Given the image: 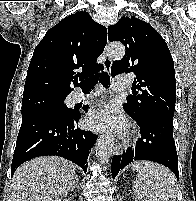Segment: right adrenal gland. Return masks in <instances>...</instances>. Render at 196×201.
I'll use <instances>...</instances> for the list:
<instances>
[{"label": "right adrenal gland", "mask_w": 196, "mask_h": 201, "mask_svg": "<svg viewBox=\"0 0 196 201\" xmlns=\"http://www.w3.org/2000/svg\"><path fill=\"white\" fill-rule=\"evenodd\" d=\"M79 183H78V176L76 175L75 176V181L74 183L72 184L71 188H70V192H72L75 188H79Z\"/></svg>", "instance_id": "1"}]
</instances>
